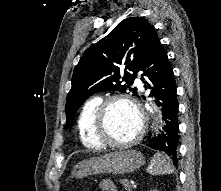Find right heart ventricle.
I'll return each mask as SVG.
<instances>
[{"label": "right heart ventricle", "mask_w": 221, "mask_h": 191, "mask_svg": "<svg viewBox=\"0 0 221 191\" xmlns=\"http://www.w3.org/2000/svg\"><path fill=\"white\" fill-rule=\"evenodd\" d=\"M102 98L94 96L89 98L82 106L77 118V131L81 143L90 149L101 148L95 135V117Z\"/></svg>", "instance_id": "right-heart-ventricle-1"}]
</instances>
